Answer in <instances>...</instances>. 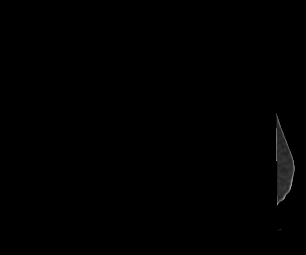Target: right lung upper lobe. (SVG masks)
Wrapping results in <instances>:
<instances>
[{
  "label": "right lung upper lobe",
  "mask_w": 306,
  "mask_h": 255,
  "mask_svg": "<svg viewBox=\"0 0 306 255\" xmlns=\"http://www.w3.org/2000/svg\"><path fill=\"white\" fill-rule=\"evenodd\" d=\"M121 75L90 77L65 97L56 124V154L68 188L87 196L115 172L110 140Z\"/></svg>",
  "instance_id": "1"
}]
</instances>
